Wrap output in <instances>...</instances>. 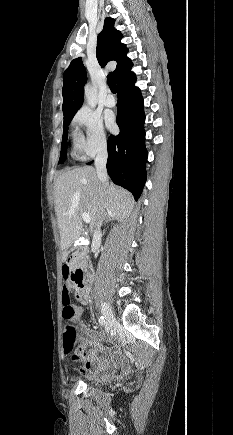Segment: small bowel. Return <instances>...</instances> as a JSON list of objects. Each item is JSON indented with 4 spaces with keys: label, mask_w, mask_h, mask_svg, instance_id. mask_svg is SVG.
Returning <instances> with one entry per match:
<instances>
[{
    "label": "small bowel",
    "mask_w": 233,
    "mask_h": 435,
    "mask_svg": "<svg viewBox=\"0 0 233 435\" xmlns=\"http://www.w3.org/2000/svg\"><path fill=\"white\" fill-rule=\"evenodd\" d=\"M62 295L63 297L70 298L69 285L65 284L63 286ZM78 310L80 313L81 308ZM79 333L81 338L90 340L89 342H82L78 348L81 357L89 360L86 365V374L90 377H97L102 380L106 379L108 375L114 373L116 364L119 361L117 351L114 348H109L104 352L102 358H98L96 356V350L100 348V344L97 341V332L92 331L85 322H80ZM124 370L126 373H129L130 367L124 366Z\"/></svg>",
    "instance_id": "obj_1"
}]
</instances>
